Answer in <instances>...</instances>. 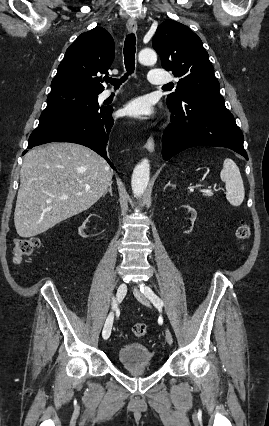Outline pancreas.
Masks as SVG:
<instances>
[{
    "instance_id": "1",
    "label": "pancreas",
    "mask_w": 269,
    "mask_h": 426,
    "mask_svg": "<svg viewBox=\"0 0 269 426\" xmlns=\"http://www.w3.org/2000/svg\"><path fill=\"white\" fill-rule=\"evenodd\" d=\"M203 195H204V196H212V193H206V192H203Z\"/></svg>"
}]
</instances>
